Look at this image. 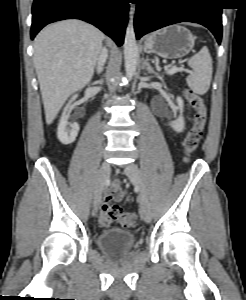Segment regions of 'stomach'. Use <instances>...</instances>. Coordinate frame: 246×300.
Listing matches in <instances>:
<instances>
[{"instance_id":"stomach-1","label":"stomach","mask_w":246,"mask_h":300,"mask_svg":"<svg viewBox=\"0 0 246 300\" xmlns=\"http://www.w3.org/2000/svg\"><path fill=\"white\" fill-rule=\"evenodd\" d=\"M195 37L186 27L170 25L145 38L144 50L166 59L187 55L194 47Z\"/></svg>"}]
</instances>
